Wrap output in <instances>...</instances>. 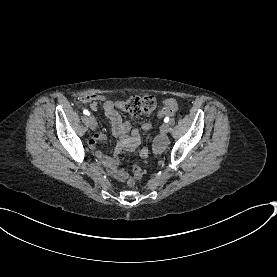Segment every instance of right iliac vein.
Listing matches in <instances>:
<instances>
[{
    "label": "right iliac vein",
    "mask_w": 277,
    "mask_h": 277,
    "mask_svg": "<svg viewBox=\"0 0 277 277\" xmlns=\"http://www.w3.org/2000/svg\"><path fill=\"white\" fill-rule=\"evenodd\" d=\"M88 123H89V127H90L91 130L96 129V120L93 116H89Z\"/></svg>",
    "instance_id": "obj_1"
}]
</instances>
